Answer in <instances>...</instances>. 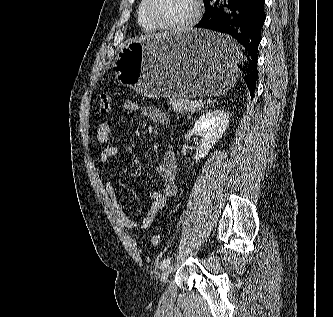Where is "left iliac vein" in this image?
Here are the masks:
<instances>
[{"label":"left iliac vein","instance_id":"4c4485c4","mask_svg":"<svg viewBox=\"0 0 333 317\" xmlns=\"http://www.w3.org/2000/svg\"><path fill=\"white\" fill-rule=\"evenodd\" d=\"M172 271V266L168 265L165 270L163 271L161 277H160V283L165 284L168 281V277Z\"/></svg>","mask_w":333,"mask_h":317}]
</instances>
